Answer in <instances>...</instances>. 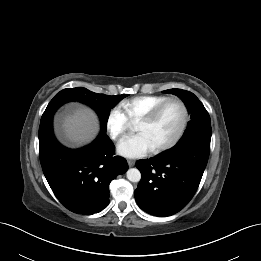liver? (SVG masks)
<instances>
[{
	"label": "liver",
	"instance_id": "1",
	"mask_svg": "<svg viewBox=\"0 0 261 261\" xmlns=\"http://www.w3.org/2000/svg\"><path fill=\"white\" fill-rule=\"evenodd\" d=\"M65 137L76 145L92 141L99 132L96 114L89 108H79L63 123Z\"/></svg>",
	"mask_w": 261,
	"mask_h": 261
}]
</instances>
